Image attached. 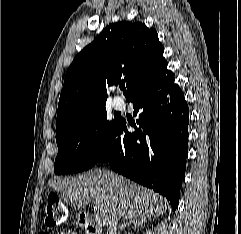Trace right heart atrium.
Masks as SVG:
<instances>
[{
  "label": "right heart atrium",
  "mask_w": 241,
  "mask_h": 234,
  "mask_svg": "<svg viewBox=\"0 0 241 234\" xmlns=\"http://www.w3.org/2000/svg\"><path fill=\"white\" fill-rule=\"evenodd\" d=\"M94 142L93 137L90 138V143L92 144Z\"/></svg>",
  "instance_id": "obj_1"
}]
</instances>
